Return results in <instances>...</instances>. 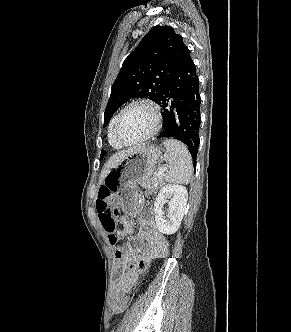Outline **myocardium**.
<instances>
[{"label":"myocardium","instance_id":"myocardium-1","mask_svg":"<svg viewBox=\"0 0 291 332\" xmlns=\"http://www.w3.org/2000/svg\"><path fill=\"white\" fill-rule=\"evenodd\" d=\"M145 106L147 108L150 109L153 118H154V125L152 130L145 135L144 137L137 139V140H133V141H128L123 139L118 132V127H119V122L121 120V117L123 116V114L130 109L131 107L134 106ZM162 126V116H161V111H160V107L152 100L150 99H137L134 100L130 103H128L125 107L122 108V110L117 114L115 122H114V136L117 139V141H119L121 144L123 145H138L141 144L149 139H151L152 137H154L160 130Z\"/></svg>","mask_w":291,"mask_h":332}]
</instances>
